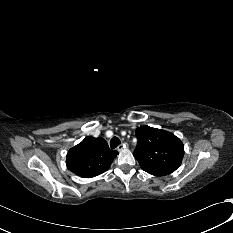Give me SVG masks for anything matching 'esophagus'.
Masks as SVG:
<instances>
[{
	"mask_svg": "<svg viewBox=\"0 0 233 233\" xmlns=\"http://www.w3.org/2000/svg\"><path fill=\"white\" fill-rule=\"evenodd\" d=\"M127 148V144H121V145H119L118 147H117V150L120 152V151H122V150H124V149H126Z\"/></svg>",
	"mask_w": 233,
	"mask_h": 233,
	"instance_id": "1",
	"label": "esophagus"
}]
</instances>
